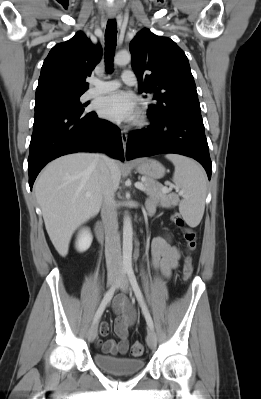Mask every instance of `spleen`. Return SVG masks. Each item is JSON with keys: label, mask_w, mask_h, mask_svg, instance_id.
<instances>
[{"label": "spleen", "mask_w": 261, "mask_h": 399, "mask_svg": "<svg viewBox=\"0 0 261 399\" xmlns=\"http://www.w3.org/2000/svg\"><path fill=\"white\" fill-rule=\"evenodd\" d=\"M175 166L173 181L181 189L183 199L179 211L188 225L197 226L204 214L207 178L202 167L194 160L177 154H168Z\"/></svg>", "instance_id": "3e777b00"}]
</instances>
